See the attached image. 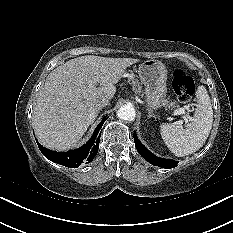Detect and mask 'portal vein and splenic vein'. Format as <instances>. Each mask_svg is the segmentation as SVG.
Wrapping results in <instances>:
<instances>
[{"label":"portal vein and splenic vein","instance_id":"1","mask_svg":"<svg viewBox=\"0 0 233 233\" xmlns=\"http://www.w3.org/2000/svg\"><path fill=\"white\" fill-rule=\"evenodd\" d=\"M173 115H183L184 120H180V121L177 122V124H178L179 126H182V124L184 123V121H185V122H188V120H189V121L192 120L191 117H189L188 115H186V112H185V109H184V108H179V109L175 110V111L173 112Z\"/></svg>","mask_w":233,"mask_h":233}]
</instances>
